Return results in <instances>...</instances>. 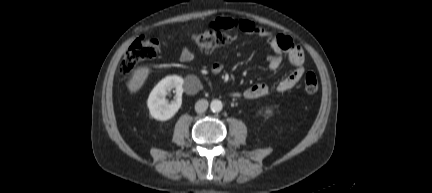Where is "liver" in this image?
I'll return each mask as SVG.
<instances>
[{
    "mask_svg": "<svg viewBox=\"0 0 432 193\" xmlns=\"http://www.w3.org/2000/svg\"><path fill=\"white\" fill-rule=\"evenodd\" d=\"M148 74L149 69L145 67L135 70L133 77L130 79L127 85L130 93H135L142 87Z\"/></svg>",
    "mask_w": 432,
    "mask_h": 193,
    "instance_id": "6515ba94",
    "label": "liver"
}]
</instances>
